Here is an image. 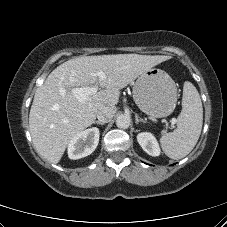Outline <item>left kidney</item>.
<instances>
[{
    "label": "left kidney",
    "instance_id": "obj_1",
    "mask_svg": "<svg viewBox=\"0 0 227 227\" xmlns=\"http://www.w3.org/2000/svg\"><path fill=\"white\" fill-rule=\"evenodd\" d=\"M137 141L142 149L151 156L160 155V147L156 138L149 132H141L137 135Z\"/></svg>",
    "mask_w": 227,
    "mask_h": 227
}]
</instances>
